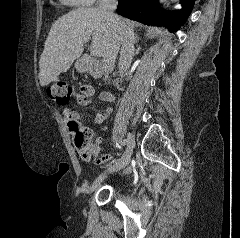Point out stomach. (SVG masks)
Returning a JSON list of instances; mask_svg holds the SVG:
<instances>
[{"label": "stomach", "instance_id": "stomach-1", "mask_svg": "<svg viewBox=\"0 0 240 238\" xmlns=\"http://www.w3.org/2000/svg\"><path fill=\"white\" fill-rule=\"evenodd\" d=\"M75 68L78 71L83 72V71H86L88 69V64L80 59V60L76 61Z\"/></svg>", "mask_w": 240, "mask_h": 238}]
</instances>
